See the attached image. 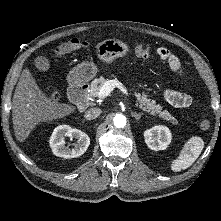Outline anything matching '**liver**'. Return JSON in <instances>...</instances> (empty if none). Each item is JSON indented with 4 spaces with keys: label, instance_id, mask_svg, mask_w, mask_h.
I'll return each mask as SVG.
<instances>
[{
    "label": "liver",
    "instance_id": "liver-1",
    "mask_svg": "<svg viewBox=\"0 0 221 221\" xmlns=\"http://www.w3.org/2000/svg\"><path fill=\"white\" fill-rule=\"evenodd\" d=\"M35 66L45 71L49 61L45 57H37ZM74 111L73 106L49 99L28 68L22 71L12 101L13 128L18 141L24 142L39 123L63 118Z\"/></svg>",
    "mask_w": 221,
    "mask_h": 221
}]
</instances>
